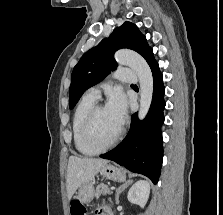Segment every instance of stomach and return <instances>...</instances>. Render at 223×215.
I'll return each instance as SVG.
<instances>
[{
	"instance_id": "stomach-1",
	"label": "stomach",
	"mask_w": 223,
	"mask_h": 215,
	"mask_svg": "<svg viewBox=\"0 0 223 215\" xmlns=\"http://www.w3.org/2000/svg\"><path fill=\"white\" fill-rule=\"evenodd\" d=\"M101 175L103 177H106V179H112V181H126V175L122 169H119V167H116V165H111V163H104L100 169ZM94 190V187L90 181L88 183H84V185H81L80 189H78L77 193H80V198H77V201H80V205H83V203H88V201H91L93 199L92 191Z\"/></svg>"
}]
</instances>
